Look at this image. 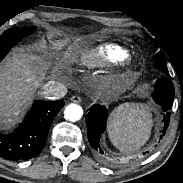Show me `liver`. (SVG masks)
I'll return each instance as SVG.
<instances>
[{"label":"liver","mask_w":183,"mask_h":183,"mask_svg":"<svg viewBox=\"0 0 183 183\" xmlns=\"http://www.w3.org/2000/svg\"><path fill=\"white\" fill-rule=\"evenodd\" d=\"M76 44L77 40L72 38L64 44L54 43V47L65 45V55L73 57ZM34 59L17 53L0 67V125H9L19 117L44 79V69L35 64Z\"/></svg>","instance_id":"obj_1"}]
</instances>
